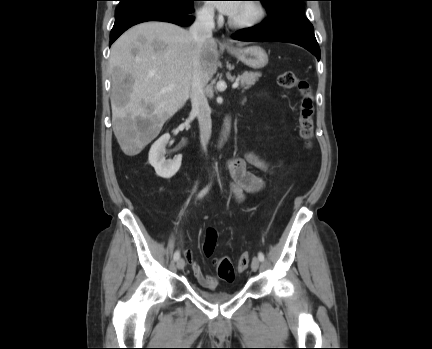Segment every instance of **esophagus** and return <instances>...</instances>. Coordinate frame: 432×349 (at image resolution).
<instances>
[{"mask_svg": "<svg viewBox=\"0 0 432 349\" xmlns=\"http://www.w3.org/2000/svg\"><path fill=\"white\" fill-rule=\"evenodd\" d=\"M222 45H223L224 47H230V46H231V43H230L229 41L223 39V41H222Z\"/></svg>", "mask_w": 432, "mask_h": 349, "instance_id": "obj_1", "label": "esophagus"}]
</instances>
